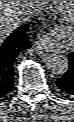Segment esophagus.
<instances>
[{
  "label": "esophagus",
  "mask_w": 74,
  "mask_h": 122,
  "mask_svg": "<svg viewBox=\"0 0 74 122\" xmlns=\"http://www.w3.org/2000/svg\"><path fill=\"white\" fill-rule=\"evenodd\" d=\"M35 47L38 50H47L48 49V40L47 38H40L35 42Z\"/></svg>",
  "instance_id": "obj_1"
}]
</instances>
